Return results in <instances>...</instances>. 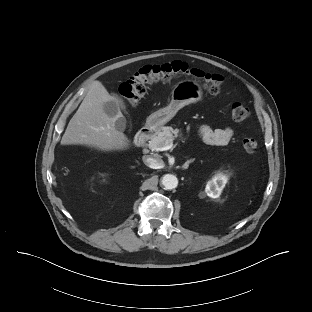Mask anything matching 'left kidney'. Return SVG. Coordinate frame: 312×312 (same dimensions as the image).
Wrapping results in <instances>:
<instances>
[{"mask_svg": "<svg viewBox=\"0 0 312 312\" xmlns=\"http://www.w3.org/2000/svg\"><path fill=\"white\" fill-rule=\"evenodd\" d=\"M226 183L227 177L222 173H217L212 180L207 182L205 192L211 198H218Z\"/></svg>", "mask_w": 312, "mask_h": 312, "instance_id": "obj_1", "label": "left kidney"}]
</instances>
